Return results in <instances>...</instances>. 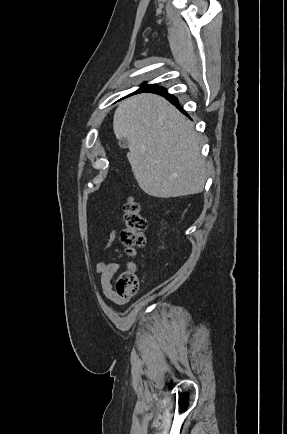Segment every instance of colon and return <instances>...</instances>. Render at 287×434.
<instances>
[{"label":"colon","mask_w":287,"mask_h":434,"mask_svg":"<svg viewBox=\"0 0 287 434\" xmlns=\"http://www.w3.org/2000/svg\"><path fill=\"white\" fill-rule=\"evenodd\" d=\"M146 219L140 204L129 198L124 204V230L121 235L126 251L134 255L135 249L145 244ZM139 290V278L134 271L123 272L115 284V294L121 298L134 297Z\"/></svg>","instance_id":"5ec220e1"}]
</instances>
